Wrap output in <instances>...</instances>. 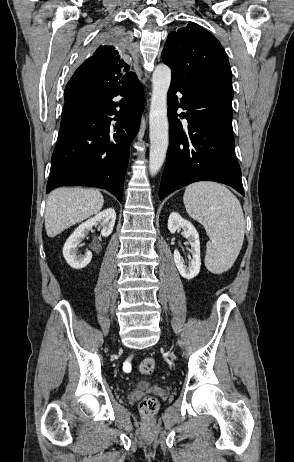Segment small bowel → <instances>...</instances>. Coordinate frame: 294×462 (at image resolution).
<instances>
[{
    "label": "small bowel",
    "mask_w": 294,
    "mask_h": 462,
    "mask_svg": "<svg viewBox=\"0 0 294 462\" xmlns=\"http://www.w3.org/2000/svg\"><path fill=\"white\" fill-rule=\"evenodd\" d=\"M123 369L125 372H130L131 371V363L130 361H126L123 365Z\"/></svg>",
    "instance_id": "c3829d8e"
}]
</instances>
